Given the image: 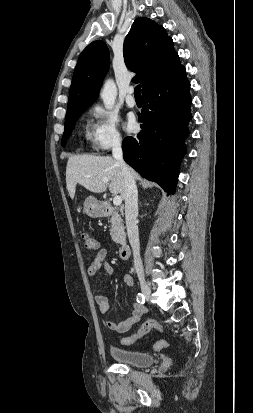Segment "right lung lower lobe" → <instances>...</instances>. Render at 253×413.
Instances as JSON below:
<instances>
[{"mask_svg": "<svg viewBox=\"0 0 253 413\" xmlns=\"http://www.w3.org/2000/svg\"><path fill=\"white\" fill-rule=\"evenodd\" d=\"M190 83L185 67L143 93L139 114L142 131L122 144L124 160L142 177L174 193L178 169L186 153L190 112Z\"/></svg>", "mask_w": 253, "mask_h": 413, "instance_id": "1", "label": "right lung lower lobe"}]
</instances>
